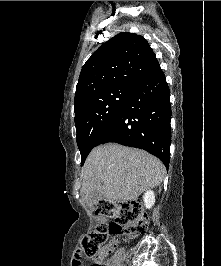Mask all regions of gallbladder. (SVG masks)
Instances as JSON below:
<instances>
[{"mask_svg":"<svg viewBox=\"0 0 221 266\" xmlns=\"http://www.w3.org/2000/svg\"><path fill=\"white\" fill-rule=\"evenodd\" d=\"M101 199L102 195L100 194V192L97 190H93L87 195L85 201L88 205H94L98 203V201H100Z\"/></svg>","mask_w":221,"mask_h":266,"instance_id":"gallbladder-1","label":"gallbladder"}]
</instances>
